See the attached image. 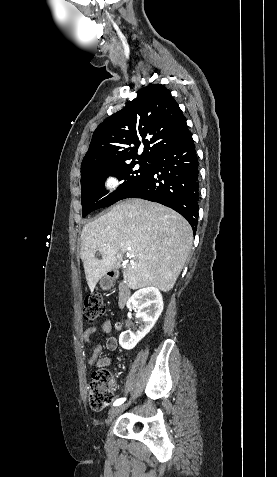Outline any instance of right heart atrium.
<instances>
[{"label":"right heart atrium","instance_id":"1","mask_svg":"<svg viewBox=\"0 0 277 477\" xmlns=\"http://www.w3.org/2000/svg\"><path fill=\"white\" fill-rule=\"evenodd\" d=\"M119 180L113 175L109 174L104 178L103 184L108 190H114L118 186Z\"/></svg>","mask_w":277,"mask_h":477}]
</instances>
